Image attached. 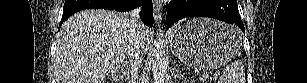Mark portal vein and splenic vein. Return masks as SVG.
I'll list each match as a JSON object with an SVG mask.
<instances>
[{
  "label": "portal vein and splenic vein",
  "instance_id": "18ae733b",
  "mask_svg": "<svg viewBox=\"0 0 307 83\" xmlns=\"http://www.w3.org/2000/svg\"><path fill=\"white\" fill-rule=\"evenodd\" d=\"M218 76H219V73H218V72L214 74V77H215V78H217Z\"/></svg>",
  "mask_w": 307,
  "mask_h": 83
}]
</instances>
